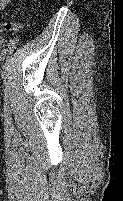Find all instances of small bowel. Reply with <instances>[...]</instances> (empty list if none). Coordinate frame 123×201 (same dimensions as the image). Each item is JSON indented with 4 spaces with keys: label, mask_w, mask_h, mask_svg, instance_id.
Returning a JSON list of instances; mask_svg holds the SVG:
<instances>
[{
    "label": "small bowel",
    "mask_w": 123,
    "mask_h": 201,
    "mask_svg": "<svg viewBox=\"0 0 123 201\" xmlns=\"http://www.w3.org/2000/svg\"><path fill=\"white\" fill-rule=\"evenodd\" d=\"M10 0H0V9H2ZM22 28V24L15 21L0 22V32L12 31L18 33Z\"/></svg>",
    "instance_id": "1"
}]
</instances>
